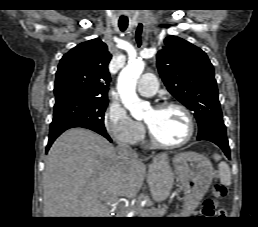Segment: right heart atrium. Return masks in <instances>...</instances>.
<instances>
[{"instance_id":"right-heart-atrium-1","label":"right heart atrium","mask_w":258,"mask_h":227,"mask_svg":"<svg viewBox=\"0 0 258 227\" xmlns=\"http://www.w3.org/2000/svg\"><path fill=\"white\" fill-rule=\"evenodd\" d=\"M104 125L111 138L119 144L134 146L144 137L141 123L132 119L120 105H110L105 113Z\"/></svg>"}]
</instances>
